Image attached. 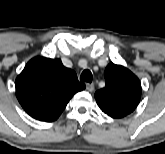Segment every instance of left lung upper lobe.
Masks as SVG:
<instances>
[{
	"label": "left lung upper lobe",
	"instance_id": "1",
	"mask_svg": "<svg viewBox=\"0 0 165 154\" xmlns=\"http://www.w3.org/2000/svg\"><path fill=\"white\" fill-rule=\"evenodd\" d=\"M104 75L106 85L95 93L100 109L113 118H121L134 111L141 96L137 76L112 62L106 67Z\"/></svg>",
	"mask_w": 165,
	"mask_h": 154
}]
</instances>
